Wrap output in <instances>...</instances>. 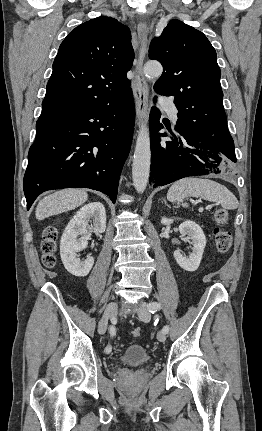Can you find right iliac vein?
Returning <instances> with one entry per match:
<instances>
[{
	"mask_svg": "<svg viewBox=\"0 0 262 431\" xmlns=\"http://www.w3.org/2000/svg\"><path fill=\"white\" fill-rule=\"evenodd\" d=\"M117 309H118L117 302H111L106 306L104 314L98 324V331L100 334H104L106 332L108 321L109 319L115 316Z\"/></svg>",
	"mask_w": 262,
	"mask_h": 431,
	"instance_id": "1",
	"label": "right iliac vein"
}]
</instances>
